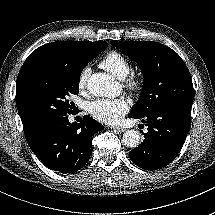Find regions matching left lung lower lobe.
Wrapping results in <instances>:
<instances>
[{
	"label": "left lung lower lobe",
	"mask_w": 215,
	"mask_h": 215,
	"mask_svg": "<svg viewBox=\"0 0 215 215\" xmlns=\"http://www.w3.org/2000/svg\"><path fill=\"white\" fill-rule=\"evenodd\" d=\"M192 102L162 107L138 118L148 126L144 141L129 152L131 160L144 170L160 169L176 158L191 125Z\"/></svg>",
	"instance_id": "left-lung-lower-lobe-1"
}]
</instances>
